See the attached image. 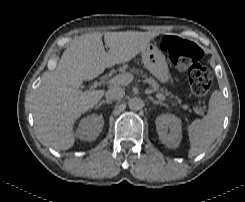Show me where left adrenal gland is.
Masks as SVG:
<instances>
[{
    "label": "left adrenal gland",
    "instance_id": "1",
    "mask_svg": "<svg viewBox=\"0 0 245 202\" xmlns=\"http://www.w3.org/2000/svg\"><path fill=\"white\" fill-rule=\"evenodd\" d=\"M152 100V102H153V104L154 105H162V106H167L165 103H163L162 101H157V100H154V99H151Z\"/></svg>",
    "mask_w": 245,
    "mask_h": 202
}]
</instances>
